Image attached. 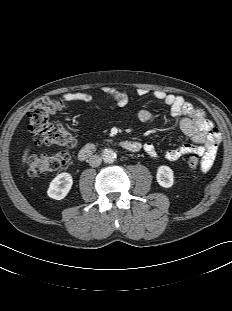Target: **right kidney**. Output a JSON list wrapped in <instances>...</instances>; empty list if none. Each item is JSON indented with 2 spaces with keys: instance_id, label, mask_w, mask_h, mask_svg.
I'll use <instances>...</instances> for the list:
<instances>
[{
  "instance_id": "ca27d5eb",
  "label": "right kidney",
  "mask_w": 232,
  "mask_h": 311,
  "mask_svg": "<svg viewBox=\"0 0 232 311\" xmlns=\"http://www.w3.org/2000/svg\"><path fill=\"white\" fill-rule=\"evenodd\" d=\"M72 184L73 179L69 173H60L50 182L47 194L53 199L61 200L68 194Z\"/></svg>"
}]
</instances>
